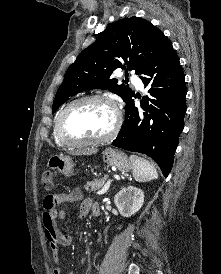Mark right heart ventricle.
Segmentation results:
<instances>
[{"instance_id": "obj_1", "label": "right heart ventricle", "mask_w": 221, "mask_h": 274, "mask_svg": "<svg viewBox=\"0 0 221 274\" xmlns=\"http://www.w3.org/2000/svg\"><path fill=\"white\" fill-rule=\"evenodd\" d=\"M60 113L57 115L55 122H54V126H53V139L55 141V143L59 146H67V144L61 140V138L58 135L57 132V122H58V118H59Z\"/></svg>"}]
</instances>
